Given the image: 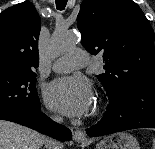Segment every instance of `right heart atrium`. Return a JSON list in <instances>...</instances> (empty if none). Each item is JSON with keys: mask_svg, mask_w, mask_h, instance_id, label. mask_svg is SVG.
I'll return each instance as SVG.
<instances>
[{"mask_svg": "<svg viewBox=\"0 0 155 149\" xmlns=\"http://www.w3.org/2000/svg\"><path fill=\"white\" fill-rule=\"evenodd\" d=\"M55 120H58V117H54Z\"/></svg>", "mask_w": 155, "mask_h": 149, "instance_id": "obj_1", "label": "right heart atrium"}]
</instances>
